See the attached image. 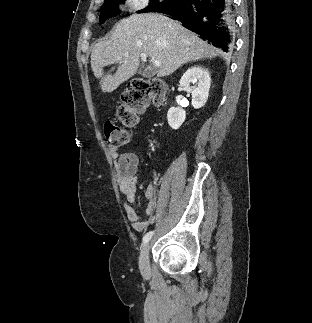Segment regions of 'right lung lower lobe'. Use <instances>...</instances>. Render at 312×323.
<instances>
[{"label": "right lung lower lobe", "instance_id": "obj_1", "mask_svg": "<svg viewBox=\"0 0 312 323\" xmlns=\"http://www.w3.org/2000/svg\"><path fill=\"white\" fill-rule=\"evenodd\" d=\"M180 21L209 44L230 52L234 46V2L232 0H181L160 11Z\"/></svg>", "mask_w": 312, "mask_h": 323}]
</instances>
